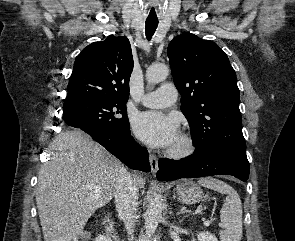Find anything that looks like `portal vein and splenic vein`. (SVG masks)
Returning a JSON list of instances; mask_svg holds the SVG:
<instances>
[{
  "label": "portal vein and splenic vein",
  "mask_w": 295,
  "mask_h": 241,
  "mask_svg": "<svg viewBox=\"0 0 295 241\" xmlns=\"http://www.w3.org/2000/svg\"><path fill=\"white\" fill-rule=\"evenodd\" d=\"M96 191H100L101 190V187H99V186H97V185H95L94 187H93ZM210 223H211V221H205L204 222V225L205 226H209L210 225Z\"/></svg>",
  "instance_id": "portal-vein-and-splenic-vein-1"
}]
</instances>
